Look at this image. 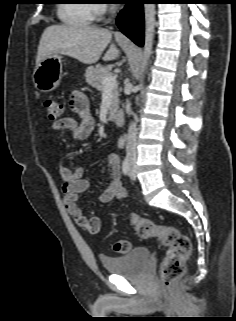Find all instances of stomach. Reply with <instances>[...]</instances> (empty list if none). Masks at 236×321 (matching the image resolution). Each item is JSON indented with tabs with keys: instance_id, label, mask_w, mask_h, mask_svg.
Listing matches in <instances>:
<instances>
[{
	"instance_id": "stomach-1",
	"label": "stomach",
	"mask_w": 236,
	"mask_h": 321,
	"mask_svg": "<svg viewBox=\"0 0 236 321\" xmlns=\"http://www.w3.org/2000/svg\"><path fill=\"white\" fill-rule=\"evenodd\" d=\"M63 60L59 54H54L36 65L33 72V82L41 92L47 93L56 89L62 78Z\"/></svg>"
}]
</instances>
